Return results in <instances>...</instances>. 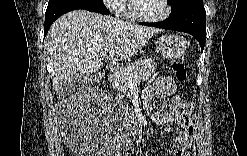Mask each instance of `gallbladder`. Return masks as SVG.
Wrapping results in <instances>:
<instances>
[{
  "instance_id": "1",
  "label": "gallbladder",
  "mask_w": 247,
  "mask_h": 156,
  "mask_svg": "<svg viewBox=\"0 0 247 156\" xmlns=\"http://www.w3.org/2000/svg\"><path fill=\"white\" fill-rule=\"evenodd\" d=\"M86 82H87V77L79 76V75L74 76L72 78V80H70L69 82L65 83L64 91H62L61 93L70 94L75 89V85L82 86Z\"/></svg>"
}]
</instances>
